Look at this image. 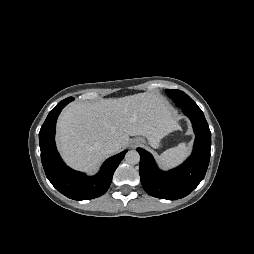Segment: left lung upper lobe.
Instances as JSON below:
<instances>
[{
  "label": "left lung upper lobe",
  "instance_id": "left-lung-upper-lobe-1",
  "mask_svg": "<svg viewBox=\"0 0 254 254\" xmlns=\"http://www.w3.org/2000/svg\"><path fill=\"white\" fill-rule=\"evenodd\" d=\"M166 93L176 105L183 109L201 110L197 104L183 91L167 89Z\"/></svg>",
  "mask_w": 254,
  "mask_h": 254
}]
</instances>
